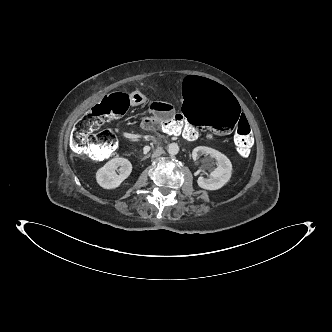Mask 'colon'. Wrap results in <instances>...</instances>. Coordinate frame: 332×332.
Instances as JSON below:
<instances>
[{
  "instance_id": "colon-1",
  "label": "colon",
  "mask_w": 332,
  "mask_h": 332,
  "mask_svg": "<svg viewBox=\"0 0 332 332\" xmlns=\"http://www.w3.org/2000/svg\"><path fill=\"white\" fill-rule=\"evenodd\" d=\"M184 98L188 117L175 115L171 121H161L163 130L174 132L197 125L214 134L226 135L235 128L237 153L243 158L248 156L253 143L251 128L241 118L238 102L228 90L195 77L186 83ZM137 100L136 93L116 92L105 96L76 122L70 139L72 153L95 161L108 159L116 149L117 139L111 130L100 128L109 119L123 115Z\"/></svg>"
}]
</instances>
